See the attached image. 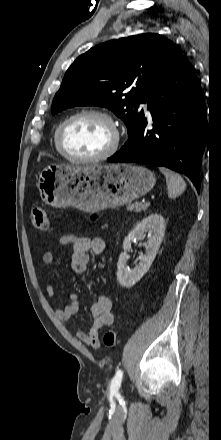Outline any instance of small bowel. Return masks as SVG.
Returning a JSON list of instances; mask_svg holds the SVG:
<instances>
[{
	"label": "small bowel",
	"mask_w": 221,
	"mask_h": 440,
	"mask_svg": "<svg viewBox=\"0 0 221 440\" xmlns=\"http://www.w3.org/2000/svg\"><path fill=\"white\" fill-rule=\"evenodd\" d=\"M72 247L71 268L76 274H85L89 263V252L101 254L104 252L106 244L101 238H88L77 235H65L60 238L56 251L67 247ZM42 261L45 265L54 262V251L44 253ZM45 291L49 299L54 298L56 290L51 283H45ZM80 311L78 295L71 294L70 303L64 308H58L55 311L56 317L63 322L69 321L72 316ZM92 326L88 332L78 331L77 337L83 343L98 348L100 346L99 332L104 327L112 326L114 323V313L112 311V302L107 295H100L90 307L89 311Z\"/></svg>",
	"instance_id": "obj_1"
}]
</instances>
